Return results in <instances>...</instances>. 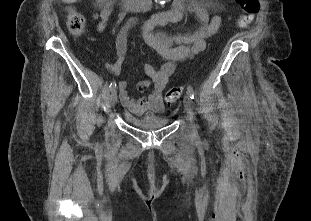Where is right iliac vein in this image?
Segmentation results:
<instances>
[{
  "instance_id": "right-iliac-vein-1",
  "label": "right iliac vein",
  "mask_w": 311,
  "mask_h": 221,
  "mask_svg": "<svg viewBox=\"0 0 311 221\" xmlns=\"http://www.w3.org/2000/svg\"><path fill=\"white\" fill-rule=\"evenodd\" d=\"M109 99H110V105L112 107H114L117 103V92H116V90L111 91Z\"/></svg>"
}]
</instances>
